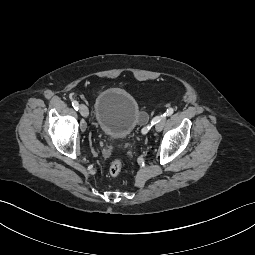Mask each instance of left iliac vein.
<instances>
[{
    "mask_svg": "<svg viewBox=\"0 0 255 255\" xmlns=\"http://www.w3.org/2000/svg\"><path fill=\"white\" fill-rule=\"evenodd\" d=\"M158 119H159V122L156 123L155 129H156L157 132H160L164 127L165 116L164 115H159Z\"/></svg>",
    "mask_w": 255,
    "mask_h": 255,
    "instance_id": "left-iliac-vein-1",
    "label": "left iliac vein"
}]
</instances>
